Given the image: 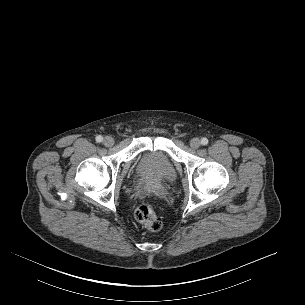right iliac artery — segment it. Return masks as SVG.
<instances>
[{
	"label": "right iliac artery",
	"mask_w": 305,
	"mask_h": 305,
	"mask_svg": "<svg viewBox=\"0 0 305 305\" xmlns=\"http://www.w3.org/2000/svg\"><path fill=\"white\" fill-rule=\"evenodd\" d=\"M102 140H103V137H102L101 135H98V136L96 137V141H97V142H102Z\"/></svg>",
	"instance_id": "82829eb1"
}]
</instances>
